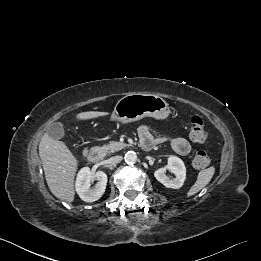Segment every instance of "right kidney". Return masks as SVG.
Masks as SVG:
<instances>
[{
	"label": "right kidney",
	"mask_w": 261,
	"mask_h": 261,
	"mask_svg": "<svg viewBox=\"0 0 261 261\" xmlns=\"http://www.w3.org/2000/svg\"><path fill=\"white\" fill-rule=\"evenodd\" d=\"M97 180L94 188L91 182ZM107 185V175L103 171L92 173L89 167L82 168L76 179L75 188L79 197L85 202H94L102 197Z\"/></svg>",
	"instance_id": "1"
}]
</instances>
